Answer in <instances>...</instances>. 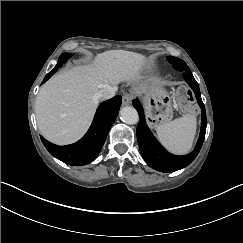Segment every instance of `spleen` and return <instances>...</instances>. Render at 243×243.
Returning <instances> with one entry per match:
<instances>
[{"label": "spleen", "instance_id": "3e777b00", "mask_svg": "<svg viewBox=\"0 0 243 243\" xmlns=\"http://www.w3.org/2000/svg\"><path fill=\"white\" fill-rule=\"evenodd\" d=\"M196 127V117L184 115L159 125L156 132L159 141L168 151L176 155H184L189 153L193 146Z\"/></svg>", "mask_w": 243, "mask_h": 243}]
</instances>
